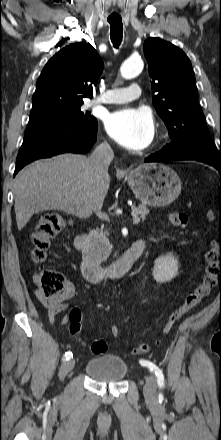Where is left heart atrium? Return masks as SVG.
<instances>
[{
  "mask_svg": "<svg viewBox=\"0 0 221 440\" xmlns=\"http://www.w3.org/2000/svg\"><path fill=\"white\" fill-rule=\"evenodd\" d=\"M105 127L119 144L132 150L148 146L154 135L152 116L144 108L115 111L107 116Z\"/></svg>",
  "mask_w": 221,
  "mask_h": 440,
  "instance_id": "39dd6f15",
  "label": "left heart atrium"
}]
</instances>
